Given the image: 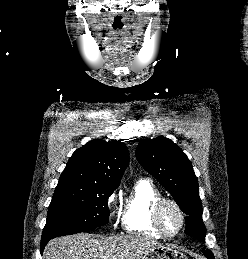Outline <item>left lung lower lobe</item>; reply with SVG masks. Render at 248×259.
<instances>
[{
    "label": "left lung lower lobe",
    "mask_w": 248,
    "mask_h": 259,
    "mask_svg": "<svg viewBox=\"0 0 248 259\" xmlns=\"http://www.w3.org/2000/svg\"><path fill=\"white\" fill-rule=\"evenodd\" d=\"M203 253L208 259H214V256L210 251L204 250Z\"/></svg>",
    "instance_id": "0a47b994"
}]
</instances>
